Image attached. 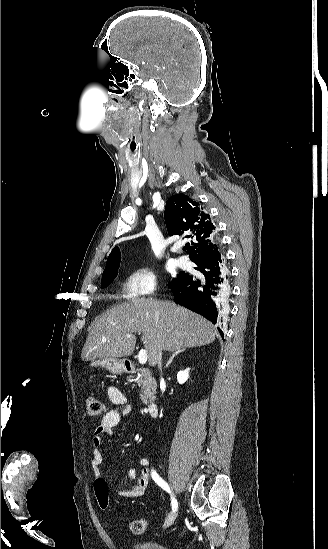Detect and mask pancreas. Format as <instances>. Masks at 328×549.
<instances>
[{"mask_svg": "<svg viewBox=\"0 0 328 549\" xmlns=\"http://www.w3.org/2000/svg\"><path fill=\"white\" fill-rule=\"evenodd\" d=\"M136 383L140 387V399L142 403H149L148 399H154L157 383L146 369H138ZM128 381H134L132 375L127 377Z\"/></svg>", "mask_w": 328, "mask_h": 549, "instance_id": "obj_1", "label": "pancreas"}]
</instances>
